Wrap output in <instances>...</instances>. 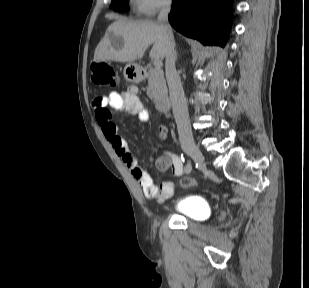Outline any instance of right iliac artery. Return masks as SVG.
Here are the masks:
<instances>
[{"label": "right iliac artery", "mask_w": 309, "mask_h": 288, "mask_svg": "<svg viewBox=\"0 0 309 288\" xmlns=\"http://www.w3.org/2000/svg\"><path fill=\"white\" fill-rule=\"evenodd\" d=\"M200 168H203V163H201V160H196V165L194 166V169L199 170Z\"/></svg>", "instance_id": "82829eb1"}]
</instances>
